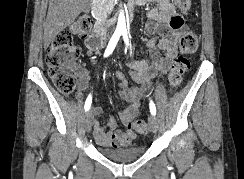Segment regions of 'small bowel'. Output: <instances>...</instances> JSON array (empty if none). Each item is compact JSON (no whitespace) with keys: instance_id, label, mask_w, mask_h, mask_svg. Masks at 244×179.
<instances>
[{"instance_id":"c3829d8e","label":"small bowel","mask_w":244,"mask_h":179,"mask_svg":"<svg viewBox=\"0 0 244 179\" xmlns=\"http://www.w3.org/2000/svg\"><path fill=\"white\" fill-rule=\"evenodd\" d=\"M149 11V18L145 21V31L149 38L145 44V58L140 61L127 60L133 69L132 78L141 84L140 87H129L122 72H115L119 80L118 89L120 97L128 104L119 114V120L124 131L116 130V121L113 117L107 118L105 123L93 119V137L102 147H124L129 145L135 136L132 121L136 116L147 88L152 80L165 75L171 68L176 56L177 39L180 35L183 22L174 6L167 0H155L147 3L139 1L138 6ZM134 8V7H133ZM157 36H161L158 40ZM87 55L92 56L96 50L86 38ZM78 77V90L76 99L82 100L88 88L91 71L87 68H76ZM102 110L95 107L91 111L93 117L101 114Z\"/></svg>"}]
</instances>
